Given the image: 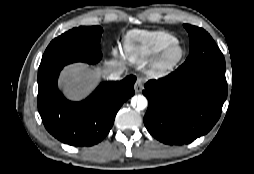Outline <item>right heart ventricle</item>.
<instances>
[{"label":"right heart ventricle","instance_id":"obj_1","mask_svg":"<svg viewBox=\"0 0 254 174\" xmlns=\"http://www.w3.org/2000/svg\"><path fill=\"white\" fill-rule=\"evenodd\" d=\"M175 40V35L164 30H131L124 37L123 49L128 60L138 63L155 56Z\"/></svg>","mask_w":254,"mask_h":174}]
</instances>
